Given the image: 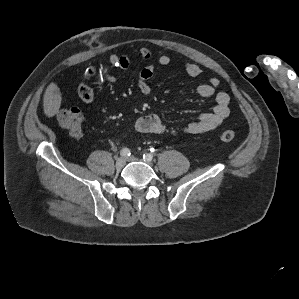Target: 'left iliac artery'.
Instances as JSON below:
<instances>
[{
	"mask_svg": "<svg viewBox=\"0 0 299 299\" xmlns=\"http://www.w3.org/2000/svg\"><path fill=\"white\" fill-rule=\"evenodd\" d=\"M143 159H144V161H152L153 155L150 153H146L143 155Z\"/></svg>",
	"mask_w": 299,
	"mask_h": 299,
	"instance_id": "44dca946",
	"label": "left iliac artery"
}]
</instances>
